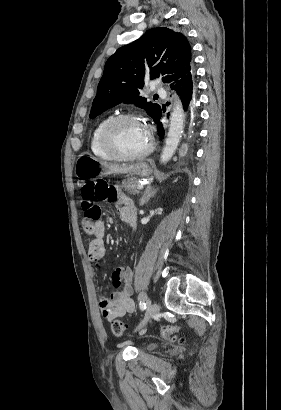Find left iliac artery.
Segmentation results:
<instances>
[{"label":"left iliac artery","instance_id":"left-iliac-artery-1","mask_svg":"<svg viewBox=\"0 0 281 410\" xmlns=\"http://www.w3.org/2000/svg\"><path fill=\"white\" fill-rule=\"evenodd\" d=\"M146 298H147L146 295H142V299L139 302V307L141 310L146 309V303H145Z\"/></svg>","mask_w":281,"mask_h":410}]
</instances>
